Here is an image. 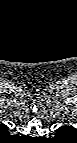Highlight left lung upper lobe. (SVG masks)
I'll use <instances>...</instances> for the list:
<instances>
[{
  "label": "left lung upper lobe",
  "mask_w": 77,
  "mask_h": 143,
  "mask_svg": "<svg viewBox=\"0 0 77 143\" xmlns=\"http://www.w3.org/2000/svg\"><path fill=\"white\" fill-rule=\"evenodd\" d=\"M58 130H60V131H62V133H64L65 131H67V128L66 127L65 128H60Z\"/></svg>",
  "instance_id": "obj_1"
}]
</instances>
